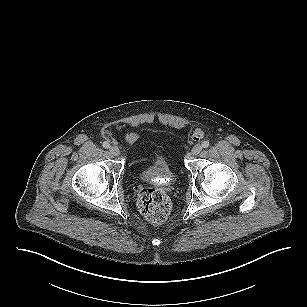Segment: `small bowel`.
Listing matches in <instances>:
<instances>
[{
	"instance_id": "1",
	"label": "small bowel",
	"mask_w": 307,
	"mask_h": 307,
	"mask_svg": "<svg viewBox=\"0 0 307 307\" xmlns=\"http://www.w3.org/2000/svg\"><path fill=\"white\" fill-rule=\"evenodd\" d=\"M137 139H138V134L136 132H129L125 136V140L129 144L136 142Z\"/></svg>"
}]
</instances>
